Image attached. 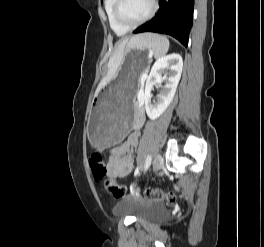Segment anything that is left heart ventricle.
<instances>
[{
    "instance_id": "1",
    "label": "left heart ventricle",
    "mask_w": 264,
    "mask_h": 247,
    "mask_svg": "<svg viewBox=\"0 0 264 247\" xmlns=\"http://www.w3.org/2000/svg\"><path fill=\"white\" fill-rule=\"evenodd\" d=\"M151 0H124L122 14L130 22L143 18L150 9Z\"/></svg>"
}]
</instances>
